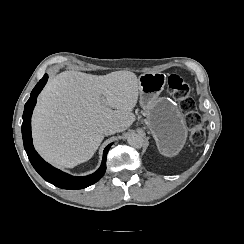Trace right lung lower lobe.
I'll list each match as a JSON object with an SVG mask.
<instances>
[{
	"instance_id": "right-lung-lower-lobe-1",
	"label": "right lung lower lobe",
	"mask_w": 244,
	"mask_h": 244,
	"mask_svg": "<svg viewBox=\"0 0 244 244\" xmlns=\"http://www.w3.org/2000/svg\"><path fill=\"white\" fill-rule=\"evenodd\" d=\"M47 80L48 75L45 74L43 78L36 84L31 92L29 100L25 104L22 123V137L24 148L32 166L43 177V179H45L49 183L63 189L86 188L96 183L104 175L106 170V156L112 143L109 144L104 150L103 160L100 168L95 173L88 176L74 177L54 168L53 166L45 162L36 152L32 144L31 115L36 104L37 96L45 86Z\"/></svg>"
}]
</instances>
